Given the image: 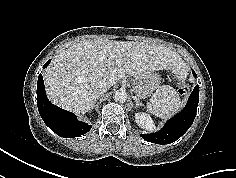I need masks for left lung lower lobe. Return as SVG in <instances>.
<instances>
[{"label": "left lung lower lobe", "mask_w": 236, "mask_h": 178, "mask_svg": "<svg viewBox=\"0 0 236 178\" xmlns=\"http://www.w3.org/2000/svg\"><path fill=\"white\" fill-rule=\"evenodd\" d=\"M194 77L196 73L192 70ZM199 102V86L196 85L192 91L187 105L182 112L167 121L165 126L158 132L153 134H144V138L148 142L156 144H169L179 139L192 125L197 111Z\"/></svg>", "instance_id": "obj_1"}]
</instances>
